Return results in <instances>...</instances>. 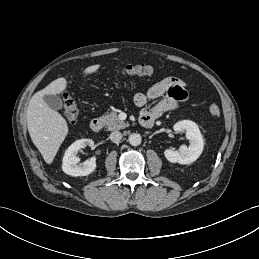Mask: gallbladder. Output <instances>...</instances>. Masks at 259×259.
Wrapping results in <instances>:
<instances>
[{
	"label": "gallbladder",
	"mask_w": 259,
	"mask_h": 259,
	"mask_svg": "<svg viewBox=\"0 0 259 259\" xmlns=\"http://www.w3.org/2000/svg\"><path fill=\"white\" fill-rule=\"evenodd\" d=\"M43 99L46 104L54 110H60L63 107L62 100L57 95H45Z\"/></svg>",
	"instance_id": "obj_1"
}]
</instances>
